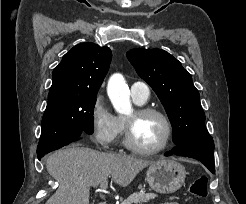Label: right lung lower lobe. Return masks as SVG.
Wrapping results in <instances>:
<instances>
[{
	"instance_id": "obj_1",
	"label": "right lung lower lobe",
	"mask_w": 246,
	"mask_h": 204,
	"mask_svg": "<svg viewBox=\"0 0 246 204\" xmlns=\"http://www.w3.org/2000/svg\"><path fill=\"white\" fill-rule=\"evenodd\" d=\"M79 139H80V138H77V139H75L74 141H77V140H79ZM74 141H73V142H74ZM42 157H43V156H39L38 159L40 160Z\"/></svg>"
}]
</instances>
